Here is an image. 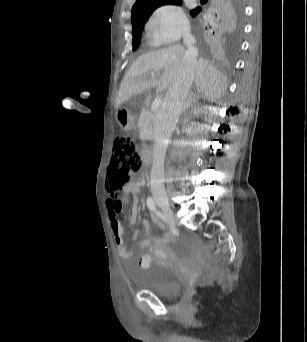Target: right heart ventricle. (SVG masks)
I'll return each mask as SVG.
<instances>
[{
	"label": "right heart ventricle",
	"mask_w": 307,
	"mask_h": 342,
	"mask_svg": "<svg viewBox=\"0 0 307 342\" xmlns=\"http://www.w3.org/2000/svg\"><path fill=\"white\" fill-rule=\"evenodd\" d=\"M142 42L144 45V51L145 52H155L157 48V44H155L153 41L147 39L144 35L142 37Z\"/></svg>",
	"instance_id": "e07e8e85"
}]
</instances>
